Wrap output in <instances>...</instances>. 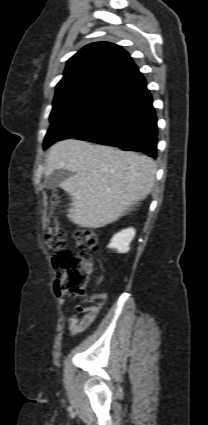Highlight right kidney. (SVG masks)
<instances>
[{
  "mask_svg": "<svg viewBox=\"0 0 208 425\" xmlns=\"http://www.w3.org/2000/svg\"><path fill=\"white\" fill-rule=\"evenodd\" d=\"M135 229L134 228H127L124 230H121L117 234L113 236L111 239L110 244L108 245V248L115 249L119 253H126L130 250V243L133 240L135 236Z\"/></svg>",
  "mask_w": 208,
  "mask_h": 425,
  "instance_id": "1",
  "label": "right kidney"
}]
</instances>
